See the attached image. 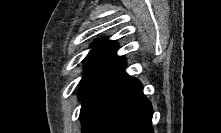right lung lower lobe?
I'll use <instances>...</instances> for the list:
<instances>
[{
    "label": "right lung lower lobe",
    "instance_id": "obj_1",
    "mask_svg": "<svg viewBox=\"0 0 221 133\" xmlns=\"http://www.w3.org/2000/svg\"><path fill=\"white\" fill-rule=\"evenodd\" d=\"M125 63L95 79L82 102V133H153V110Z\"/></svg>",
    "mask_w": 221,
    "mask_h": 133
}]
</instances>
